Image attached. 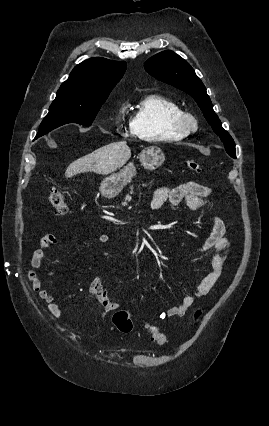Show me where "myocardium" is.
Instances as JSON below:
<instances>
[{
    "label": "myocardium",
    "instance_id": "f54148a6",
    "mask_svg": "<svg viewBox=\"0 0 269 426\" xmlns=\"http://www.w3.org/2000/svg\"><path fill=\"white\" fill-rule=\"evenodd\" d=\"M171 126L183 135L194 132L198 127L196 117L188 111L180 110L170 117Z\"/></svg>",
    "mask_w": 269,
    "mask_h": 426
}]
</instances>
